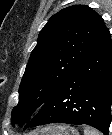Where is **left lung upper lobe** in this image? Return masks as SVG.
<instances>
[{"label":"left lung upper lobe","mask_w":112,"mask_h":135,"mask_svg":"<svg viewBox=\"0 0 112 135\" xmlns=\"http://www.w3.org/2000/svg\"><path fill=\"white\" fill-rule=\"evenodd\" d=\"M108 31L101 16L85 5L53 15L38 37L19 87L12 124L24 125L65 82Z\"/></svg>","instance_id":"obj_1"}]
</instances>
